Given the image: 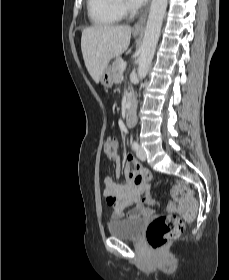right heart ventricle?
I'll list each match as a JSON object with an SVG mask.
<instances>
[{
    "label": "right heart ventricle",
    "mask_w": 229,
    "mask_h": 280,
    "mask_svg": "<svg viewBox=\"0 0 229 280\" xmlns=\"http://www.w3.org/2000/svg\"><path fill=\"white\" fill-rule=\"evenodd\" d=\"M87 12L91 23L97 27H110L122 18L118 0H87Z\"/></svg>",
    "instance_id": "obj_1"
}]
</instances>
